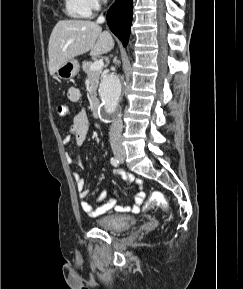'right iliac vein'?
Returning <instances> with one entry per match:
<instances>
[{"instance_id":"1","label":"right iliac vein","mask_w":243,"mask_h":289,"mask_svg":"<svg viewBox=\"0 0 243 289\" xmlns=\"http://www.w3.org/2000/svg\"><path fill=\"white\" fill-rule=\"evenodd\" d=\"M123 156V154H118V157H122Z\"/></svg>"}]
</instances>
